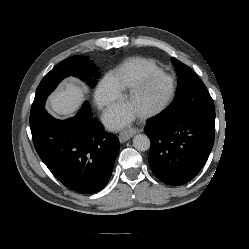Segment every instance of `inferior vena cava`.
<instances>
[{"label": "inferior vena cava", "instance_id": "obj_1", "mask_svg": "<svg viewBox=\"0 0 249 249\" xmlns=\"http://www.w3.org/2000/svg\"><path fill=\"white\" fill-rule=\"evenodd\" d=\"M103 106V103H100L99 107L101 108Z\"/></svg>", "mask_w": 249, "mask_h": 249}]
</instances>
